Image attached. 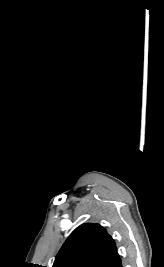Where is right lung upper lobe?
Here are the masks:
<instances>
[{"label": "right lung upper lobe", "mask_w": 164, "mask_h": 267, "mask_svg": "<svg viewBox=\"0 0 164 267\" xmlns=\"http://www.w3.org/2000/svg\"><path fill=\"white\" fill-rule=\"evenodd\" d=\"M117 253L111 236L99 224L76 228L56 256L53 267H100Z\"/></svg>", "instance_id": "cb5924a9"}]
</instances>
